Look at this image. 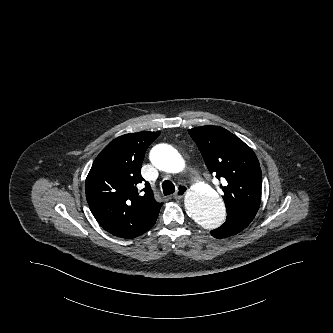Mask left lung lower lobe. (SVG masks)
Here are the masks:
<instances>
[{
	"mask_svg": "<svg viewBox=\"0 0 333 333\" xmlns=\"http://www.w3.org/2000/svg\"><path fill=\"white\" fill-rule=\"evenodd\" d=\"M249 223L234 218L226 219V222L219 228L212 230L211 235L215 238H226L235 235L245 229Z\"/></svg>",
	"mask_w": 333,
	"mask_h": 333,
	"instance_id": "left-lung-lower-lobe-1",
	"label": "left lung lower lobe"
}]
</instances>
